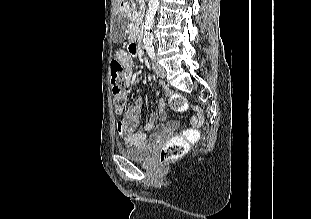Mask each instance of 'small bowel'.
<instances>
[{"label": "small bowel", "mask_w": 311, "mask_h": 219, "mask_svg": "<svg viewBox=\"0 0 311 219\" xmlns=\"http://www.w3.org/2000/svg\"><path fill=\"white\" fill-rule=\"evenodd\" d=\"M116 59L120 61L125 66L124 80L127 86H130L133 83V71L129 66L130 63V54L126 50H119L116 54ZM143 106V99L137 98L134 103L130 104L126 111L124 118L118 123V134L120 138L130 146L142 145L146 138L147 132H150L156 129V136L162 137L166 136L172 130V125L159 124L157 125V115L151 113L148 116L146 123L144 124V132H136L139 118L141 114V109ZM198 109H195V112H198ZM159 116L161 119L166 117V112L163 102L159 105ZM197 120H192V124H197Z\"/></svg>", "instance_id": "obj_1"}]
</instances>
